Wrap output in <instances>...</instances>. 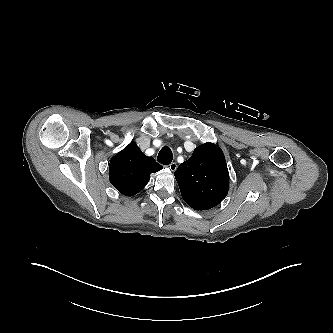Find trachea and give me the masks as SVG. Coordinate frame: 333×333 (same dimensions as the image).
<instances>
[{"mask_svg":"<svg viewBox=\"0 0 333 333\" xmlns=\"http://www.w3.org/2000/svg\"><path fill=\"white\" fill-rule=\"evenodd\" d=\"M158 162L164 165H168L172 162V151L168 146H164L157 158Z\"/></svg>","mask_w":333,"mask_h":333,"instance_id":"obj_1","label":"trachea"}]
</instances>
